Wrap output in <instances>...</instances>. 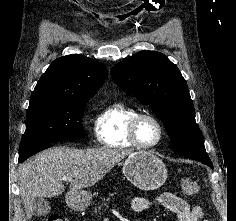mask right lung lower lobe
<instances>
[{"mask_svg": "<svg viewBox=\"0 0 236 221\" xmlns=\"http://www.w3.org/2000/svg\"><path fill=\"white\" fill-rule=\"evenodd\" d=\"M51 144H43V145H38L34 147H30L28 149H25L21 152H19V160L18 163H23L27 158L30 156L36 154L37 152H40L48 147H50Z\"/></svg>", "mask_w": 236, "mask_h": 221, "instance_id": "98d812e1", "label": "right lung lower lobe"}]
</instances>
